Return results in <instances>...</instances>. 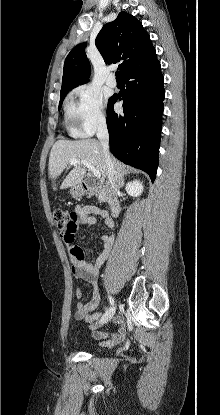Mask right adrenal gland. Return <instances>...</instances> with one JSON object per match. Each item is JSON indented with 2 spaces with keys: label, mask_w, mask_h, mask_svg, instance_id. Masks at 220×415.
<instances>
[{
  "label": "right adrenal gland",
  "mask_w": 220,
  "mask_h": 415,
  "mask_svg": "<svg viewBox=\"0 0 220 415\" xmlns=\"http://www.w3.org/2000/svg\"><path fill=\"white\" fill-rule=\"evenodd\" d=\"M127 174H128L127 171H123V172L118 173L117 176H119L123 180L124 176H126Z\"/></svg>",
  "instance_id": "2a0ac1e0"
}]
</instances>
